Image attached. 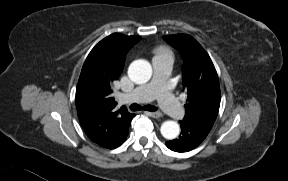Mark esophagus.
I'll return each instance as SVG.
<instances>
[{"instance_id":"obj_1","label":"esophagus","mask_w":288,"mask_h":181,"mask_svg":"<svg viewBox=\"0 0 288 181\" xmlns=\"http://www.w3.org/2000/svg\"><path fill=\"white\" fill-rule=\"evenodd\" d=\"M146 114L150 115L153 118H159L161 117V113L160 112H145Z\"/></svg>"}]
</instances>
